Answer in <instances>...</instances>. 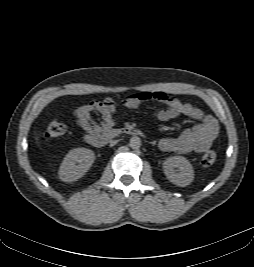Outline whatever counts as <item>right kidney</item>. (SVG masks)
I'll return each mask as SVG.
<instances>
[{
	"label": "right kidney",
	"instance_id": "obj_1",
	"mask_svg": "<svg viewBox=\"0 0 254 267\" xmlns=\"http://www.w3.org/2000/svg\"><path fill=\"white\" fill-rule=\"evenodd\" d=\"M94 160L95 155L92 150L86 148H75L70 150L59 168V178L64 182L78 180L86 174Z\"/></svg>",
	"mask_w": 254,
	"mask_h": 267
}]
</instances>
